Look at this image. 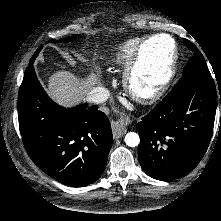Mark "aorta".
<instances>
[{
	"instance_id": "obj_1",
	"label": "aorta",
	"mask_w": 221,
	"mask_h": 221,
	"mask_svg": "<svg viewBox=\"0 0 221 221\" xmlns=\"http://www.w3.org/2000/svg\"><path fill=\"white\" fill-rule=\"evenodd\" d=\"M124 141H125L127 146H129V147H136L140 143V137L135 132H128L125 135Z\"/></svg>"
}]
</instances>
